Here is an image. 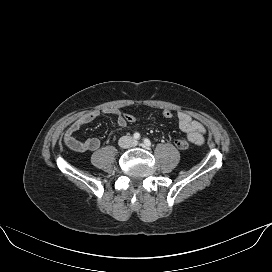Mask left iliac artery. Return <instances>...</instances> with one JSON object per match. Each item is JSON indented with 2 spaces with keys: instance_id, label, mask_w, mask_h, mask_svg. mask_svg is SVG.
Returning <instances> with one entry per match:
<instances>
[{
  "instance_id": "obj_1",
  "label": "left iliac artery",
  "mask_w": 272,
  "mask_h": 272,
  "mask_svg": "<svg viewBox=\"0 0 272 272\" xmlns=\"http://www.w3.org/2000/svg\"><path fill=\"white\" fill-rule=\"evenodd\" d=\"M143 143H144V146H145V147H150V146H151V142H150V140L147 139V138H145V139L143 140Z\"/></svg>"
}]
</instances>
